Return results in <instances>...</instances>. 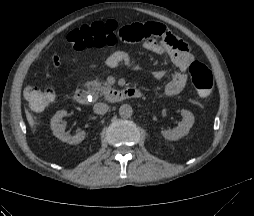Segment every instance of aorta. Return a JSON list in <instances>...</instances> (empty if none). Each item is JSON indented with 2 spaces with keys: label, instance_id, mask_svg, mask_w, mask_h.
Here are the masks:
<instances>
[{
  "label": "aorta",
  "instance_id": "762f6f07",
  "mask_svg": "<svg viewBox=\"0 0 254 216\" xmlns=\"http://www.w3.org/2000/svg\"><path fill=\"white\" fill-rule=\"evenodd\" d=\"M133 114V109L129 104H123L119 108V115L122 118H130Z\"/></svg>",
  "mask_w": 254,
  "mask_h": 216
}]
</instances>
